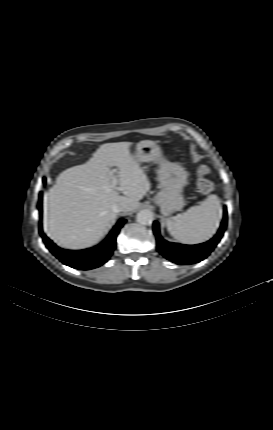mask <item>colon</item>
Segmentation results:
<instances>
[{"label": "colon", "instance_id": "1", "mask_svg": "<svg viewBox=\"0 0 273 430\" xmlns=\"http://www.w3.org/2000/svg\"><path fill=\"white\" fill-rule=\"evenodd\" d=\"M209 172V168L205 165L200 166L197 170L196 188L204 195H208L214 190V184L207 178Z\"/></svg>", "mask_w": 273, "mask_h": 430}]
</instances>
